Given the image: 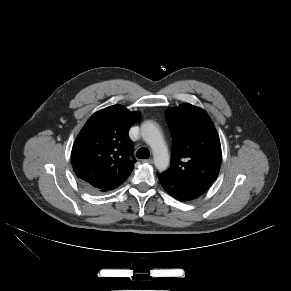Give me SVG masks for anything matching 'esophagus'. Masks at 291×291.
Masks as SVG:
<instances>
[{
	"instance_id": "34e87169",
	"label": "esophagus",
	"mask_w": 291,
	"mask_h": 291,
	"mask_svg": "<svg viewBox=\"0 0 291 291\" xmlns=\"http://www.w3.org/2000/svg\"><path fill=\"white\" fill-rule=\"evenodd\" d=\"M142 162L148 163V164H152L153 163V159H146V160H143Z\"/></svg>"
}]
</instances>
